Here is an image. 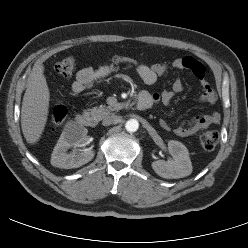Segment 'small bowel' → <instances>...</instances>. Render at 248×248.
<instances>
[{
	"label": "small bowel",
	"instance_id": "obj_1",
	"mask_svg": "<svg viewBox=\"0 0 248 248\" xmlns=\"http://www.w3.org/2000/svg\"><path fill=\"white\" fill-rule=\"evenodd\" d=\"M172 67L176 70H186L191 72L199 81L201 86V93L198 96V101L210 104H214L217 101V94L206 80V69L201 62L195 60L192 57L186 56L175 59L172 62ZM132 68L137 72L145 84L152 85L160 76L164 75L168 71L169 66L166 63L159 62L151 65L139 64L138 66ZM116 69L117 65L113 64L103 65L97 68H83L76 74V78L71 86L72 91L74 93H81L84 90L90 88L96 81L109 76ZM182 90V81L180 79H176L173 82L170 90H164L161 93L153 94L143 92L142 94L150 96L152 105L158 102L168 104L171 102L174 96L180 93ZM220 120V114L218 112H213L211 114L197 116L190 120L184 121L175 128H172L171 125L164 119H161L159 124L160 127L166 131H173L178 136L188 137L193 136L212 125L218 124Z\"/></svg>",
	"mask_w": 248,
	"mask_h": 248
}]
</instances>
